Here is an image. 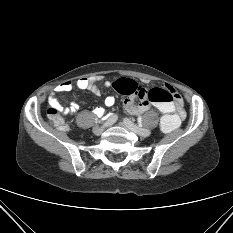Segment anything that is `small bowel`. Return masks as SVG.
Wrapping results in <instances>:
<instances>
[{
	"mask_svg": "<svg viewBox=\"0 0 233 233\" xmlns=\"http://www.w3.org/2000/svg\"><path fill=\"white\" fill-rule=\"evenodd\" d=\"M101 79L100 76L97 77H83L80 78L78 80H76L75 83H73L72 81H65L63 83L58 84L53 91L50 93L48 101L49 104L52 107H56V108H61L58 101H57V95L59 93H63V92H68L70 91L73 86L77 87L78 89H82V90H89L91 91L93 94L95 95H99L100 94V90L99 87L97 85V82ZM107 87L110 86L109 82H106L105 84ZM163 88L171 91V93L173 94V98H174V109L177 111V113L179 114V116L181 118L185 117V111L183 108V99L180 96V94L175 90V88H173L171 85L169 84H164ZM105 105L107 107H112L115 104V98L113 96H108L105 98L104 101ZM124 106L126 108V110L131 113V114H140L145 112L146 110H148L149 108V102L147 101H141L139 103H135L134 98L133 97H129L126 98L124 100ZM80 105L78 102L74 101L70 104V106L68 108H66L64 111L66 113H69L70 115H74L78 109H79ZM92 112L101 118L107 117L109 118L111 115L107 114L106 110L102 107H95Z\"/></svg>",
	"mask_w": 233,
	"mask_h": 233,
	"instance_id": "obj_1",
	"label": "small bowel"
}]
</instances>
